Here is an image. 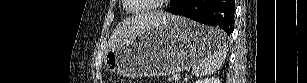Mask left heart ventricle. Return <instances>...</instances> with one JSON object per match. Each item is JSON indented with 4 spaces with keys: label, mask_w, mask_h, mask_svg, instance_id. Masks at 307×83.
Here are the masks:
<instances>
[{
    "label": "left heart ventricle",
    "mask_w": 307,
    "mask_h": 83,
    "mask_svg": "<svg viewBox=\"0 0 307 83\" xmlns=\"http://www.w3.org/2000/svg\"><path fill=\"white\" fill-rule=\"evenodd\" d=\"M136 3H141V1L140 2H138V0L136 1ZM143 3V2H142ZM145 6H147L146 4L145 5H131V8L133 9V10H139V9H142V7H145Z\"/></svg>",
    "instance_id": "1"
}]
</instances>
